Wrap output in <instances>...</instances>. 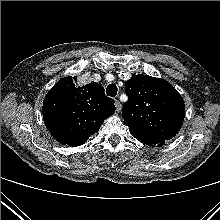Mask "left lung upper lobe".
<instances>
[{
    "label": "left lung upper lobe",
    "mask_w": 220,
    "mask_h": 220,
    "mask_svg": "<svg viewBox=\"0 0 220 220\" xmlns=\"http://www.w3.org/2000/svg\"><path fill=\"white\" fill-rule=\"evenodd\" d=\"M128 101L122 115L133 136L170 140L180 130L185 105L167 81L148 75H134L125 82Z\"/></svg>",
    "instance_id": "5c2ea615"
}]
</instances>
